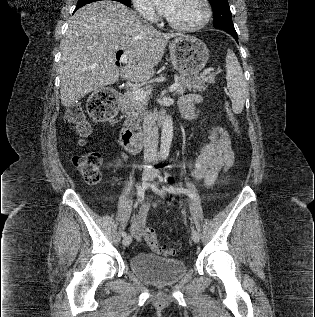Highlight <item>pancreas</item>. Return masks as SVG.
<instances>
[{
    "instance_id": "obj_1",
    "label": "pancreas",
    "mask_w": 315,
    "mask_h": 317,
    "mask_svg": "<svg viewBox=\"0 0 315 317\" xmlns=\"http://www.w3.org/2000/svg\"><path fill=\"white\" fill-rule=\"evenodd\" d=\"M216 75L210 71H205L201 75H194V77H182L177 80L179 86L175 92L177 95H183L187 90L191 91H204L210 83H215ZM144 90V89H142ZM133 89L128 91L125 95L128 110L125 111L127 123L136 126L140 120V116L144 111V106L147 103L146 99L137 100L133 93Z\"/></svg>"
}]
</instances>
